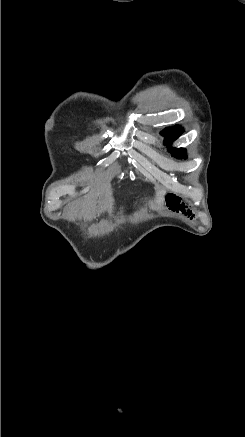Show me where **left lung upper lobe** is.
I'll use <instances>...</instances> for the list:
<instances>
[{
	"instance_id": "obj_1",
	"label": "left lung upper lobe",
	"mask_w": 245,
	"mask_h": 437,
	"mask_svg": "<svg viewBox=\"0 0 245 437\" xmlns=\"http://www.w3.org/2000/svg\"><path fill=\"white\" fill-rule=\"evenodd\" d=\"M183 129L179 126L172 127L171 129H165L161 132L164 137L165 144L167 146L171 145V142L176 140L181 136ZM172 156L176 158H186V151L182 148H172L170 150Z\"/></svg>"
}]
</instances>
